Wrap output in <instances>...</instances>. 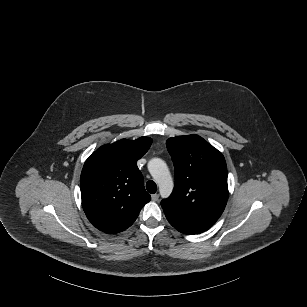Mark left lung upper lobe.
<instances>
[{
  "label": "left lung upper lobe",
  "mask_w": 307,
  "mask_h": 307,
  "mask_svg": "<svg viewBox=\"0 0 307 307\" xmlns=\"http://www.w3.org/2000/svg\"><path fill=\"white\" fill-rule=\"evenodd\" d=\"M166 146L174 163L175 186L161 206L169 221L201 233L214 225L227 203L225 159L198 135L169 138Z\"/></svg>",
  "instance_id": "5c2ea615"
}]
</instances>
